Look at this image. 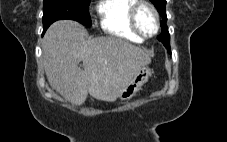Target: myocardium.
I'll list each match as a JSON object with an SVG mask.
<instances>
[{"instance_id":"obj_1","label":"myocardium","mask_w":227,"mask_h":142,"mask_svg":"<svg viewBox=\"0 0 227 142\" xmlns=\"http://www.w3.org/2000/svg\"><path fill=\"white\" fill-rule=\"evenodd\" d=\"M142 8H148L154 16L155 19V31L152 34L144 33L138 23V14ZM129 21L132 30L144 39L152 38L156 36L160 29V17L156 7L148 1L137 0V2L131 7L129 11Z\"/></svg>"}]
</instances>
